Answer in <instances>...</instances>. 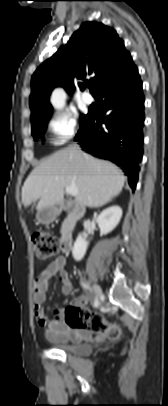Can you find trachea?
Masks as SVG:
<instances>
[{"label": "trachea", "mask_w": 168, "mask_h": 406, "mask_svg": "<svg viewBox=\"0 0 168 406\" xmlns=\"http://www.w3.org/2000/svg\"><path fill=\"white\" fill-rule=\"evenodd\" d=\"M88 87L90 88V87H91V84H89Z\"/></svg>", "instance_id": "3493384b"}]
</instances>
